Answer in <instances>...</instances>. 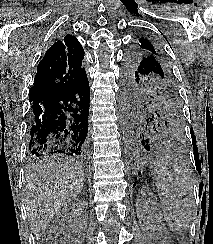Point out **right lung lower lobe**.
<instances>
[{
    "label": "right lung lower lobe",
    "mask_w": 213,
    "mask_h": 244,
    "mask_svg": "<svg viewBox=\"0 0 213 244\" xmlns=\"http://www.w3.org/2000/svg\"><path fill=\"white\" fill-rule=\"evenodd\" d=\"M89 96L85 72L66 90L31 98L29 151L32 156L86 154Z\"/></svg>",
    "instance_id": "right-lung-lower-lobe-1"
}]
</instances>
